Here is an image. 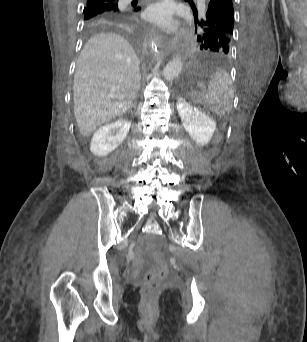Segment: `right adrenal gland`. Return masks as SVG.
Wrapping results in <instances>:
<instances>
[{"instance_id":"2a0ac1e0","label":"right adrenal gland","mask_w":307,"mask_h":342,"mask_svg":"<svg viewBox=\"0 0 307 342\" xmlns=\"http://www.w3.org/2000/svg\"><path fill=\"white\" fill-rule=\"evenodd\" d=\"M132 106H133V108H135V104H131V108H132Z\"/></svg>"}]
</instances>
